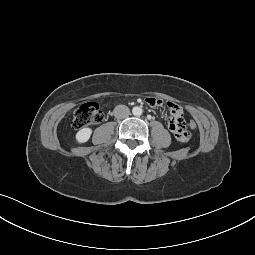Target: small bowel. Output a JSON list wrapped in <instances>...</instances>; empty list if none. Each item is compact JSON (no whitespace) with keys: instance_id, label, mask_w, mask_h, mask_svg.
Here are the masks:
<instances>
[{"instance_id":"small-bowel-1","label":"small bowel","mask_w":255,"mask_h":255,"mask_svg":"<svg viewBox=\"0 0 255 255\" xmlns=\"http://www.w3.org/2000/svg\"><path fill=\"white\" fill-rule=\"evenodd\" d=\"M143 103L164 111L165 127L172 137L180 142H187L190 139L185 111L173 100L161 99L157 95H146L143 98Z\"/></svg>"}]
</instances>
